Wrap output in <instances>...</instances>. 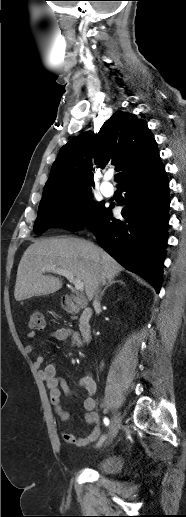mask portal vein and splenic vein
Listing matches in <instances>:
<instances>
[{
	"mask_svg": "<svg viewBox=\"0 0 186 517\" xmlns=\"http://www.w3.org/2000/svg\"><path fill=\"white\" fill-rule=\"evenodd\" d=\"M43 271H52L54 273L65 276L75 286V289L79 291H82L84 288V283L80 279L75 278L74 275L67 270L60 269L55 266H46L43 268Z\"/></svg>",
	"mask_w": 186,
	"mask_h": 517,
	"instance_id": "obj_1",
	"label": "portal vein and splenic vein"
}]
</instances>
